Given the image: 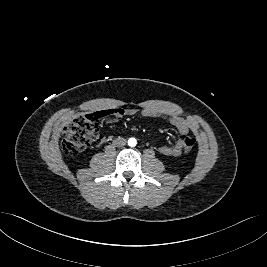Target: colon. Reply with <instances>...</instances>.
Listing matches in <instances>:
<instances>
[{
	"label": "colon",
	"instance_id": "colon-1",
	"mask_svg": "<svg viewBox=\"0 0 267 267\" xmlns=\"http://www.w3.org/2000/svg\"><path fill=\"white\" fill-rule=\"evenodd\" d=\"M99 113L86 114L69 123L62 132L61 149L66 155H76L89 145L98 133L100 118ZM183 147L186 152L194 149L196 140L189 136L182 137Z\"/></svg>",
	"mask_w": 267,
	"mask_h": 267
}]
</instances>
